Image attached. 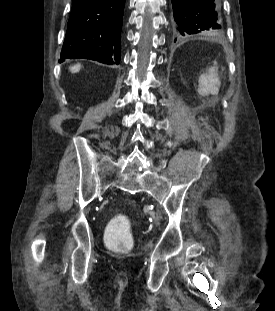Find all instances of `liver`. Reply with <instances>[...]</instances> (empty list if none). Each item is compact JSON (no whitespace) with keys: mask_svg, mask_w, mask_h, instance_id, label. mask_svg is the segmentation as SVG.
Segmentation results:
<instances>
[{"mask_svg":"<svg viewBox=\"0 0 275 311\" xmlns=\"http://www.w3.org/2000/svg\"><path fill=\"white\" fill-rule=\"evenodd\" d=\"M81 68V65L80 64H76V65H73L70 67V71L73 72V73H76L80 70Z\"/></svg>","mask_w":275,"mask_h":311,"instance_id":"6515ba94","label":"liver"}]
</instances>
